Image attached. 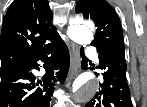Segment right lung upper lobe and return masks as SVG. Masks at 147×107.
Returning a JSON list of instances; mask_svg holds the SVG:
<instances>
[{
  "label": "right lung upper lobe",
  "instance_id": "right-lung-upper-lobe-1",
  "mask_svg": "<svg viewBox=\"0 0 147 107\" xmlns=\"http://www.w3.org/2000/svg\"><path fill=\"white\" fill-rule=\"evenodd\" d=\"M57 36L47 0H14L3 20L1 69L22 63Z\"/></svg>",
  "mask_w": 147,
  "mask_h": 107
}]
</instances>
